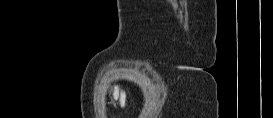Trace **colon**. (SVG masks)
Wrapping results in <instances>:
<instances>
[{"mask_svg": "<svg viewBox=\"0 0 273 118\" xmlns=\"http://www.w3.org/2000/svg\"><path fill=\"white\" fill-rule=\"evenodd\" d=\"M113 95L115 97V99L119 100V102L121 104H124L125 102V95H124V92L118 88H115L114 91H113Z\"/></svg>", "mask_w": 273, "mask_h": 118, "instance_id": "5ec220e1", "label": "colon"}]
</instances>
